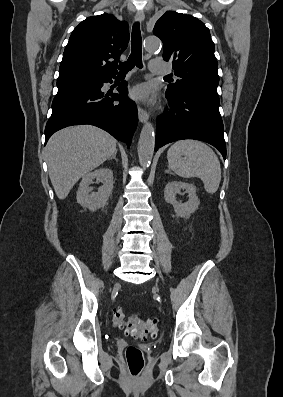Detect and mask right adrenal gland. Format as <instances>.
<instances>
[{"label": "right adrenal gland", "instance_id": "1", "mask_svg": "<svg viewBox=\"0 0 283 397\" xmlns=\"http://www.w3.org/2000/svg\"><path fill=\"white\" fill-rule=\"evenodd\" d=\"M117 151L109 158V160L114 159L115 161H118L116 158Z\"/></svg>", "mask_w": 283, "mask_h": 397}]
</instances>
